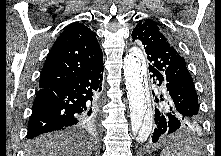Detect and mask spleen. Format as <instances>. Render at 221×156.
I'll return each instance as SVG.
<instances>
[{
	"label": "spleen",
	"instance_id": "3e777b00",
	"mask_svg": "<svg viewBox=\"0 0 221 156\" xmlns=\"http://www.w3.org/2000/svg\"><path fill=\"white\" fill-rule=\"evenodd\" d=\"M200 152L191 145L185 144L182 140L175 139L161 152V156H200Z\"/></svg>",
	"mask_w": 221,
	"mask_h": 156
}]
</instances>
